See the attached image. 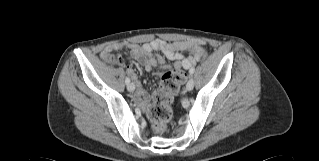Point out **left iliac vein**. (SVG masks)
I'll return each mask as SVG.
<instances>
[{"label": "left iliac vein", "instance_id": "1", "mask_svg": "<svg viewBox=\"0 0 319 161\" xmlns=\"http://www.w3.org/2000/svg\"><path fill=\"white\" fill-rule=\"evenodd\" d=\"M194 87V80L193 78H190L186 84V90L191 91Z\"/></svg>", "mask_w": 319, "mask_h": 161}]
</instances>
